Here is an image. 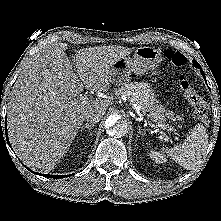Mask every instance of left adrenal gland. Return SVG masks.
Here are the masks:
<instances>
[{
    "instance_id": "a2214340",
    "label": "left adrenal gland",
    "mask_w": 221,
    "mask_h": 221,
    "mask_svg": "<svg viewBox=\"0 0 221 221\" xmlns=\"http://www.w3.org/2000/svg\"><path fill=\"white\" fill-rule=\"evenodd\" d=\"M137 128H138V132H137V136H136V137H139V135L143 136V135H144L145 130H143V131H144V132H143V131L141 130V126H139V125H138V127H137Z\"/></svg>"
}]
</instances>
